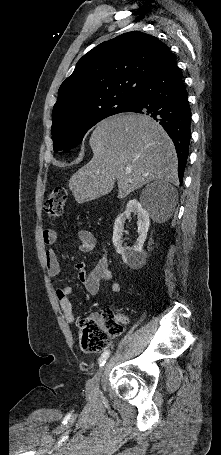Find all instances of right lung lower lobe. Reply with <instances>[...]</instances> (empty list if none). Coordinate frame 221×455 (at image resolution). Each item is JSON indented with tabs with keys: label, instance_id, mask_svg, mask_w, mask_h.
<instances>
[{
	"label": "right lung lower lobe",
	"instance_id": "right-lung-lower-lobe-1",
	"mask_svg": "<svg viewBox=\"0 0 221 455\" xmlns=\"http://www.w3.org/2000/svg\"><path fill=\"white\" fill-rule=\"evenodd\" d=\"M124 112L149 115L162 125L175 145L182 183L189 155L191 111L187 90L171 52L143 83Z\"/></svg>",
	"mask_w": 221,
	"mask_h": 455
}]
</instances>
